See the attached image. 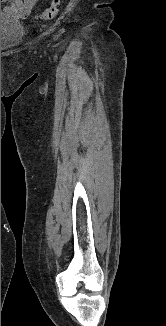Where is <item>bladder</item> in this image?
<instances>
[{
	"label": "bladder",
	"mask_w": 166,
	"mask_h": 326,
	"mask_svg": "<svg viewBox=\"0 0 166 326\" xmlns=\"http://www.w3.org/2000/svg\"><path fill=\"white\" fill-rule=\"evenodd\" d=\"M22 23L10 13L1 11V50L15 47L22 35Z\"/></svg>",
	"instance_id": "1"
}]
</instances>
